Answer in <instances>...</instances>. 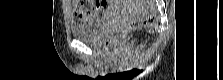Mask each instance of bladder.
Returning a JSON list of instances; mask_svg holds the SVG:
<instances>
[{
  "mask_svg": "<svg viewBox=\"0 0 223 80\" xmlns=\"http://www.w3.org/2000/svg\"><path fill=\"white\" fill-rule=\"evenodd\" d=\"M112 15V8L96 19L71 25V33L74 38L81 41H95L100 36L104 23Z\"/></svg>",
  "mask_w": 223,
  "mask_h": 80,
  "instance_id": "31cf9c89",
  "label": "bladder"
}]
</instances>
